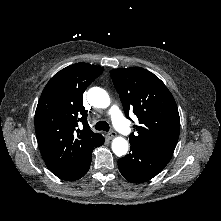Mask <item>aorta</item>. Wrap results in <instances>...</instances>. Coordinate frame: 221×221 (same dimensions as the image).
Wrapping results in <instances>:
<instances>
[{"label":"aorta","mask_w":221,"mask_h":221,"mask_svg":"<svg viewBox=\"0 0 221 221\" xmlns=\"http://www.w3.org/2000/svg\"><path fill=\"white\" fill-rule=\"evenodd\" d=\"M88 99L90 104L97 108H107L110 105L108 93L100 87L89 89ZM112 150L117 156L125 155L128 151L127 140L121 136L114 138L112 141Z\"/></svg>","instance_id":"aorta-1"}]
</instances>
